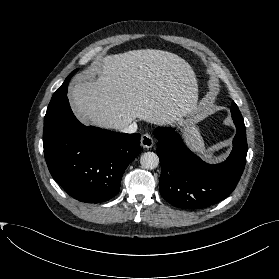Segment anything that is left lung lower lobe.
I'll use <instances>...</instances> for the list:
<instances>
[{
    "label": "left lung lower lobe",
    "instance_id": "0a47b994",
    "mask_svg": "<svg viewBox=\"0 0 279 279\" xmlns=\"http://www.w3.org/2000/svg\"><path fill=\"white\" fill-rule=\"evenodd\" d=\"M234 123L237 132L233 150L225 162L217 165L207 164L193 154L173 129H155L161 164L160 192L167 202L181 209H205L235 189L246 163L247 140L244 123Z\"/></svg>",
    "mask_w": 279,
    "mask_h": 279
}]
</instances>
